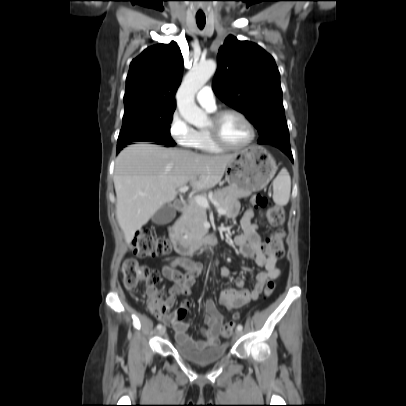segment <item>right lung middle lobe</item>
<instances>
[{"label":"right lung middle lobe","mask_w":406,"mask_h":406,"mask_svg":"<svg viewBox=\"0 0 406 406\" xmlns=\"http://www.w3.org/2000/svg\"><path fill=\"white\" fill-rule=\"evenodd\" d=\"M175 109L133 107L125 109L117 149L133 142H155L160 145H175L170 136L172 115Z\"/></svg>","instance_id":"1"}]
</instances>
